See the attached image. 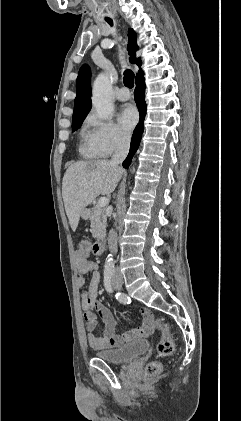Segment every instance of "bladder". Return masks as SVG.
Returning a JSON list of instances; mask_svg holds the SVG:
<instances>
[{
	"label": "bladder",
	"instance_id": "obj_1",
	"mask_svg": "<svg viewBox=\"0 0 241 421\" xmlns=\"http://www.w3.org/2000/svg\"><path fill=\"white\" fill-rule=\"evenodd\" d=\"M148 348V341L141 339L133 341L119 348L99 351L96 353V356L107 363L125 364L144 354Z\"/></svg>",
	"mask_w": 241,
	"mask_h": 421
}]
</instances>
